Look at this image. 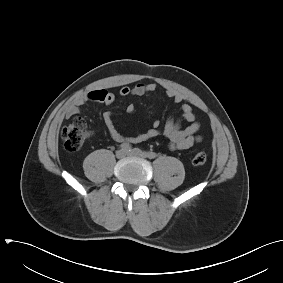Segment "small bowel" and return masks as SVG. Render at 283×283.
Listing matches in <instances>:
<instances>
[{
  "label": "small bowel",
  "mask_w": 283,
  "mask_h": 283,
  "mask_svg": "<svg viewBox=\"0 0 283 283\" xmlns=\"http://www.w3.org/2000/svg\"><path fill=\"white\" fill-rule=\"evenodd\" d=\"M158 89L159 87L155 83H138L133 87H122L120 89V95L124 97L130 95L142 96L152 94ZM165 93L167 97H169L175 104L179 105L182 119L189 123L187 127L182 129L180 122L174 117H170L166 121L163 129L160 128V121L155 120L152 124V128L148 131L133 137H127L116 129L112 121V114L108 111L103 114V120L111 138L117 142L141 143L163 135L168 140L169 146L173 150H185L200 142L202 140V137L198 135L200 123L196 119L193 108L189 104L184 103L183 97L176 91L166 90ZM90 101L110 105L115 101V95L107 90L90 91L87 94L77 98L67 108L66 117L69 118L78 114L81 107ZM126 110L128 113H134L135 106L133 104H129Z\"/></svg>",
  "instance_id": "c3829d8e"
}]
</instances>
